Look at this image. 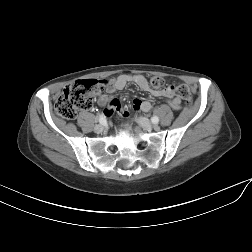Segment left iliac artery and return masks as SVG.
Listing matches in <instances>:
<instances>
[{
    "mask_svg": "<svg viewBox=\"0 0 252 252\" xmlns=\"http://www.w3.org/2000/svg\"><path fill=\"white\" fill-rule=\"evenodd\" d=\"M152 122H153L154 124H157V123L159 122V118H158L157 116H153V117H152Z\"/></svg>",
    "mask_w": 252,
    "mask_h": 252,
    "instance_id": "44dca946",
    "label": "left iliac artery"
}]
</instances>
